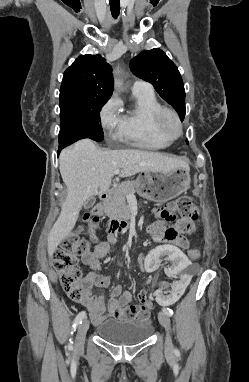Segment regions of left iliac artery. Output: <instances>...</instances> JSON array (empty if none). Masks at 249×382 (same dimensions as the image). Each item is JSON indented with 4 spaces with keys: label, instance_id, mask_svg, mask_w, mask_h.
Instances as JSON below:
<instances>
[{
    "label": "left iliac artery",
    "instance_id": "1",
    "mask_svg": "<svg viewBox=\"0 0 249 382\" xmlns=\"http://www.w3.org/2000/svg\"><path fill=\"white\" fill-rule=\"evenodd\" d=\"M163 312H165L168 316H172L173 315V311L169 308H163Z\"/></svg>",
    "mask_w": 249,
    "mask_h": 382
}]
</instances>
